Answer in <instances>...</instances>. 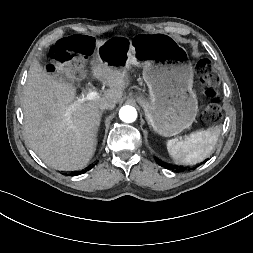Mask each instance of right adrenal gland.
<instances>
[{"mask_svg":"<svg viewBox=\"0 0 253 253\" xmlns=\"http://www.w3.org/2000/svg\"><path fill=\"white\" fill-rule=\"evenodd\" d=\"M102 116V111L100 112V117ZM100 120L101 119H99V122H98V124H97V128L100 126Z\"/></svg>","mask_w":253,"mask_h":253,"instance_id":"right-adrenal-gland-1","label":"right adrenal gland"}]
</instances>
